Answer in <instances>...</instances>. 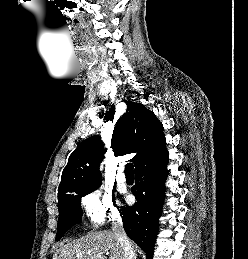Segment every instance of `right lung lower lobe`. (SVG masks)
Returning <instances> with one entry per match:
<instances>
[{"mask_svg":"<svg viewBox=\"0 0 248 259\" xmlns=\"http://www.w3.org/2000/svg\"><path fill=\"white\" fill-rule=\"evenodd\" d=\"M168 152L135 167V185L132 193L137 202L120 209L125 232L145 253L153 258L157 237L158 219L165 196V180L168 174Z\"/></svg>","mask_w":248,"mask_h":259,"instance_id":"1","label":"right lung lower lobe"}]
</instances>
